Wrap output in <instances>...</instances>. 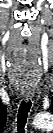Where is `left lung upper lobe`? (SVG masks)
<instances>
[{"instance_id":"5c2ea615","label":"left lung upper lobe","mask_w":53,"mask_h":133,"mask_svg":"<svg viewBox=\"0 0 53 133\" xmlns=\"http://www.w3.org/2000/svg\"><path fill=\"white\" fill-rule=\"evenodd\" d=\"M50 109H51V111H53V110H52V106L50 107Z\"/></svg>"}]
</instances>
